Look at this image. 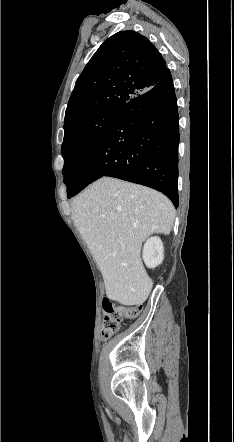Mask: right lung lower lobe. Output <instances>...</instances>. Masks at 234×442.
Wrapping results in <instances>:
<instances>
[{"mask_svg":"<svg viewBox=\"0 0 234 442\" xmlns=\"http://www.w3.org/2000/svg\"><path fill=\"white\" fill-rule=\"evenodd\" d=\"M178 145L177 101L167 69L152 88L120 108L103 137L76 163L68 197L110 176L156 189L178 207Z\"/></svg>","mask_w":234,"mask_h":442,"instance_id":"right-lung-lower-lobe-1","label":"right lung lower lobe"}]
</instances>
